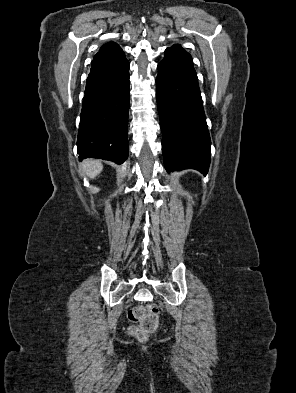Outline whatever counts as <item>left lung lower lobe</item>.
Returning <instances> with one entry per match:
<instances>
[{"label": "left lung lower lobe", "mask_w": 296, "mask_h": 393, "mask_svg": "<svg viewBox=\"0 0 296 393\" xmlns=\"http://www.w3.org/2000/svg\"><path fill=\"white\" fill-rule=\"evenodd\" d=\"M156 84L165 169L169 173L192 168L206 174L211 141L190 54L166 50Z\"/></svg>", "instance_id": "left-lung-lower-lobe-1"}]
</instances>
